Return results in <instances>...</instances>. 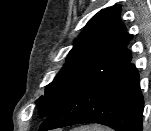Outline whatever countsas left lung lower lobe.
<instances>
[{"label": "left lung lower lobe", "mask_w": 151, "mask_h": 131, "mask_svg": "<svg viewBox=\"0 0 151 131\" xmlns=\"http://www.w3.org/2000/svg\"><path fill=\"white\" fill-rule=\"evenodd\" d=\"M143 107L134 64L94 67L68 90L38 131L82 123H99L116 131H142Z\"/></svg>", "instance_id": "1"}]
</instances>
